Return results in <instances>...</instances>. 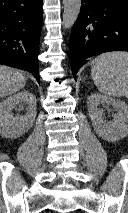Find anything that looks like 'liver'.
Instances as JSON below:
<instances>
[{"label":"liver","mask_w":128,"mask_h":213,"mask_svg":"<svg viewBox=\"0 0 128 213\" xmlns=\"http://www.w3.org/2000/svg\"><path fill=\"white\" fill-rule=\"evenodd\" d=\"M25 83L26 78L21 71L0 65V98L16 93Z\"/></svg>","instance_id":"obj_1"}]
</instances>
